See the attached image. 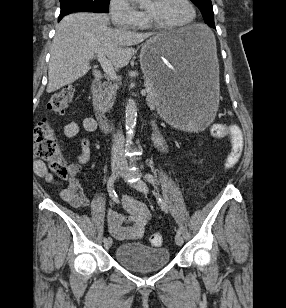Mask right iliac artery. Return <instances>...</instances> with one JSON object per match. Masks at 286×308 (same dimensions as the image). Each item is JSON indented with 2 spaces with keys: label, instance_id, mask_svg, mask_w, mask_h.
I'll list each match as a JSON object with an SVG mask.
<instances>
[{
  "label": "right iliac artery",
  "instance_id": "1",
  "mask_svg": "<svg viewBox=\"0 0 286 308\" xmlns=\"http://www.w3.org/2000/svg\"><path fill=\"white\" fill-rule=\"evenodd\" d=\"M114 180H115V175L114 173H112L107 183V189H108L110 197L116 202L117 205H120L121 201L118 200V196L116 192L114 191ZM106 240L107 238L104 237L103 241L105 242Z\"/></svg>",
  "mask_w": 286,
  "mask_h": 308
}]
</instances>
